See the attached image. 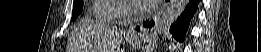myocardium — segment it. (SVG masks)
<instances>
[{"mask_svg":"<svg viewBox=\"0 0 261 52\" xmlns=\"http://www.w3.org/2000/svg\"><path fill=\"white\" fill-rule=\"evenodd\" d=\"M129 5L133 8L134 3H133V2H129ZM133 9L136 10V11H140L139 9H137V8L135 7V5H134V8H133Z\"/></svg>","mask_w":261,"mask_h":52,"instance_id":"obj_1","label":"myocardium"}]
</instances>
